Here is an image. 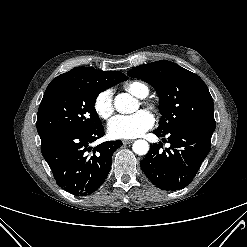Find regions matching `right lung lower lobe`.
<instances>
[{
    "mask_svg": "<svg viewBox=\"0 0 247 247\" xmlns=\"http://www.w3.org/2000/svg\"><path fill=\"white\" fill-rule=\"evenodd\" d=\"M104 136L103 125L88 131H64L41 138V152L57 184L77 195L95 192L111 168L112 155L122 144L108 141L91 147Z\"/></svg>",
    "mask_w": 247,
    "mask_h": 247,
    "instance_id": "right-lung-lower-lobe-1",
    "label": "right lung lower lobe"
}]
</instances>
